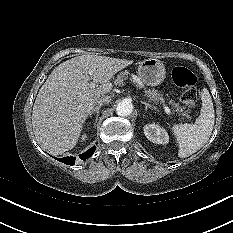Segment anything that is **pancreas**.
<instances>
[{
    "label": "pancreas",
    "instance_id": "obj_1",
    "mask_svg": "<svg viewBox=\"0 0 233 233\" xmlns=\"http://www.w3.org/2000/svg\"><path fill=\"white\" fill-rule=\"evenodd\" d=\"M129 75L128 70L122 71L117 75V78L115 79L114 83L115 85H121L123 83V80H125L127 78V76ZM136 87L141 88L142 86L139 84H136ZM145 94L150 98V99H160L161 102H164V99L162 97V94H160L159 92H157L156 90H145ZM169 104L172 105L173 110L179 115L181 116L182 119H189L190 118V111L189 110H185V107H181L179 105V103H176L174 100H170Z\"/></svg>",
    "mask_w": 233,
    "mask_h": 233
}]
</instances>
